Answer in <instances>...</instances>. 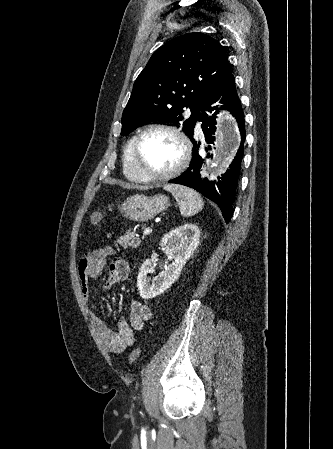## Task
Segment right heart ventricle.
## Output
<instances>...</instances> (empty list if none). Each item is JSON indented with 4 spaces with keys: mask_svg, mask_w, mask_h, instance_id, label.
<instances>
[{
    "mask_svg": "<svg viewBox=\"0 0 333 449\" xmlns=\"http://www.w3.org/2000/svg\"><path fill=\"white\" fill-rule=\"evenodd\" d=\"M136 137H132L125 146L123 154V171L132 181H143L135 170L133 164V145Z\"/></svg>",
    "mask_w": 333,
    "mask_h": 449,
    "instance_id": "e07e8e85",
    "label": "right heart ventricle"
}]
</instances>
